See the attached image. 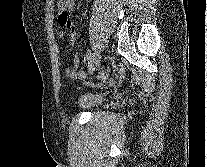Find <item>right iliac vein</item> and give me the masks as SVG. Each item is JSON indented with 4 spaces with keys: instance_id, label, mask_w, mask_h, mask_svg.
I'll list each match as a JSON object with an SVG mask.
<instances>
[{
    "instance_id": "1",
    "label": "right iliac vein",
    "mask_w": 207,
    "mask_h": 167,
    "mask_svg": "<svg viewBox=\"0 0 207 167\" xmlns=\"http://www.w3.org/2000/svg\"><path fill=\"white\" fill-rule=\"evenodd\" d=\"M100 59H101V55L98 51H96L92 58L90 59L89 61V65H88V73L89 74H92L93 71L97 68L99 62H100Z\"/></svg>"
}]
</instances>
